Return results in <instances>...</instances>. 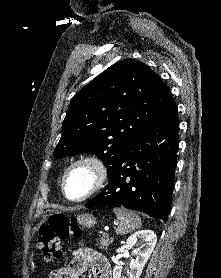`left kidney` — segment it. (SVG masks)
I'll use <instances>...</instances> for the list:
<instances>
[{
    "label": "left kidney",
    "mask_w": 221,
    "mask_h": 278,
    "mask_svg": "<svg viewBox=\"0 0 221 278\" xmlns=\"http://www.w3.org/2000/svg\"><path fill=\"white\" fill-rule=\"evenodd\" d=\"M157 242L156 234L151 230H141L132 234L127 239L126 248H132L134 244L140 243L141 246L138 249H135L134 253L136 259L130 270L127 271L126 276H121V266L117 264L113 269V278H140L142 270L150 258L154 247Z\"/></svg>",
    "instance_id": "1"
}]
</instances>
